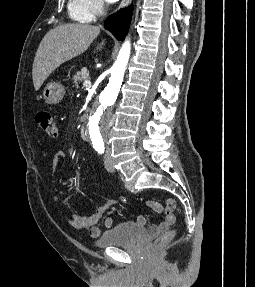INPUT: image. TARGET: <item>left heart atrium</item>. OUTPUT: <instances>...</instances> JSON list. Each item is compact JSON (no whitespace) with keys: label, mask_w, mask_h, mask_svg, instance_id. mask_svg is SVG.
<instances>
[{"label":"left heart atrium","mask_w":255,"mask_h":287,"mask_svg":"<svg viewBox=\"0 0 255 287\" xmlns=\"http://www.w3.org/2000/svg\"><path fill=\"white\" fill-rule=\"evenodd\" d=\"M73 33H86V32H73ZM72 39H87V38H72ZM73 48H88V47H73Z\"/></svg>","instance_id":"39dd6f15"}]
</instances>
